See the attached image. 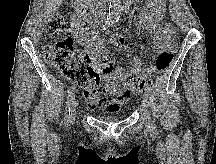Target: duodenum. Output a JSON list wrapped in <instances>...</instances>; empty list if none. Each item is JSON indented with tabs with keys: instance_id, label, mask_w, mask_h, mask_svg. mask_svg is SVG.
Masks as SVG:
<instances>
[{
	"instance_id": "duodenum-1",
	"label": "duodenum",
	"mask_w": 216,
	"mask_h": 164,
	"mask_svg": "<svg viewBox=\"0 0 216 164\" xmlns=\"http://www.w3.org/2000/svg\"><path fill=\"white\" fill-rule=\"evenodd\" d=\"M75 7L83 15L87 17H94L97 20H101V11L103 4L98 2H89L88 0H76Z\"/></svg>"
}]
</instances>
